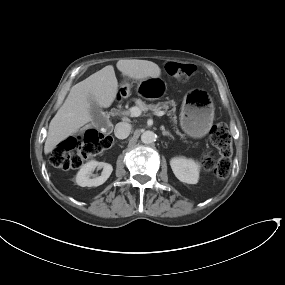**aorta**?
Wrapping results in <instances>:
<instances>
[{"instance_id": "aorta-1", "label": "aorta", "mask_w": 285, "mask_h": 285, "mask_svg": "<svg viewBox=\"0 0 285 285\" xmlns=\"http://www.w3.org/2000/svg\"><path fill=\"white\" fill-rule=\"evenodd\" d=\"M156 140V134L153 131H144L141 135V141L144 144H151Z\"/></svg>"}]
</instances>
